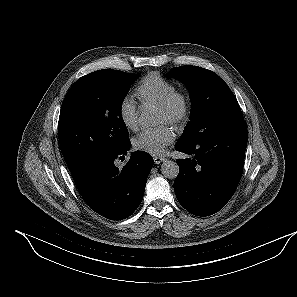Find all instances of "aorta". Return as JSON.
<instances>
[{
  "instance_id": "aorta-1",
  "label": "aorta",
  "mask_w": 297,
  "mask_h": 297,
  "mask_svg": "<svg viewBox=\"0 0 297 297\" xmlns=\"http://www.w3.org/2000/svg\"><path fill=\"white\" fill-rule=\"evenodd\" d=\"M158 118L154 110H143L139 116V122L142 126L150 127L157 123ZM161 172L164 177L169 179H174L179 174V166L176 162L171 160H166L161 165Z\"/></svg>"
}]
</instances>
